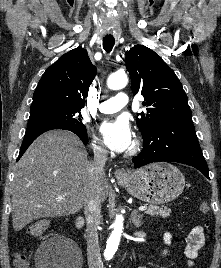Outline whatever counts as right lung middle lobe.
<instances>
[{"mask_svg":"<svg viewBox=\"0 0 221 268\" xmlns=\"http://www.w3.org/2000/svg\"><path fill=\"white\" fill-rule=\"evenodd\" d=\"M80 111H58L30 115L27 128L38 126L63 127L86 131Z\"/></svg>","mask_w":221,"mask_h":268,"instance_id":"right-lung-middle-lobe-1","label":"right lung middle lobe"}]
</instances>
